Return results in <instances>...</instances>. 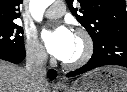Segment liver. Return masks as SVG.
<instances>
[{"label": "liver", "mask_w": 127, "mask_h": 92, "mask_svg": "<svg viewBox=\"0 0 127 92\" xmlns=\"http://www.w3.org/2000/svg\"><path fill=\"white\" fill-rule=\"evenodd\" d=\"M0 92H51L48 82L39 84L17 65L0 60Z\"/></svg>", "instance_id": "1"}]
</instances>
